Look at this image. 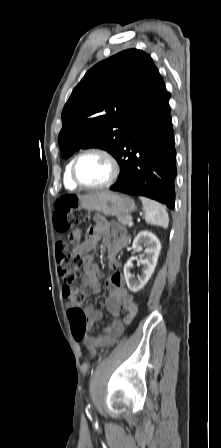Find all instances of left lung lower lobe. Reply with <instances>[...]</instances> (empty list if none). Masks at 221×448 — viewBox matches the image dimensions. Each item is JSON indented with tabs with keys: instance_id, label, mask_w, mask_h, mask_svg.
<instances>
[{
	"instance_id": "1",
	"label": "left lung lower lobe",
	"mask_w": 221,
	"mask_h": 448,
	"mask_svg": "<svg viewBox=\"0 0 221 448\" xmlns=\"http://www.w3.org/2000/svg\"><path fill=\"white\" fill-rule=\"evenodd\" d=\"M169 98L164 90L130 126L116 157L121 172L110 189L146 196L173 209L177 169Z\"/></svg>"
}]
</instances>
